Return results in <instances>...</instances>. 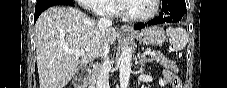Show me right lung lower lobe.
I'll return each mask as SVG.
<instances>
[{"mask_svg":"<svg viewBox=\"0 0 227 88\" xmlns=\"http://www.w3.org/2000/svg\"><path fill=\"white\" fill-rule=\"evenodd\" d=\"M58 2L57 1H47L44 2L40 5H36L35 6V15H34V23L36 22L37 18L39 17V15L46 10L48 7H51L53 5H57Z\"/></svg>","mask_w":227,"mask_h":88,"instance_id":"1","label":"right lung lower lobe"}]
</instances>
